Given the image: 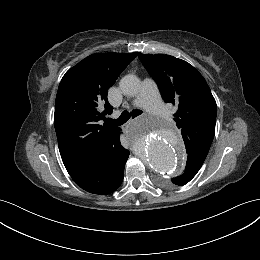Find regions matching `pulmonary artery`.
<instances>
[{
    "instance_id": "1",
    "label": "pulmonary artery",
    "mask_w": 260,
    "mask_h": 260,
    "mask_svg": "<svg viewBox=\"0 0 260 260\" xmlns=\"http://www.w3.org/2000/svg\"><path fill=\"white\" fill-rule=\"evenodd\" d=\"M134 105L143 107L151 114L163 119H171L164 104L160 100L156 83L149 78L143 80L142 89L139 96L134 101Z\"/></svg>"
}]
</instances>
